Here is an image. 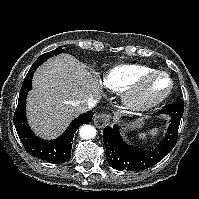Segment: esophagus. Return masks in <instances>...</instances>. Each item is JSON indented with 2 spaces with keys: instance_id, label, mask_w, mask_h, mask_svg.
<instances>
[{
  "instance_id": "1",
  "label": "esophagus",
  "mask_w": 199,
  "mask_h": 199,
  "mask_svg": "<svg viewBox=\"0 0 199 199\" xmlns=\"http://www.w3.org/2000/svg\"><path fill=\"white\" fill-rule=\"evenodd\" d=\"M110 119V116L106 113L100 112L95 114L93 118L94 125L98 128L104 127Z\"/></svg>"
}]
</instances>
